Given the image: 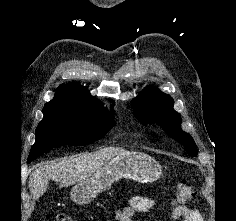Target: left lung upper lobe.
Returning a JSON list of instances; mask_svg holds the SVG:
<instances>
[{"label":"left lung upper lobe","mask_w":236,"mask_h":221,"mask_svg":"<svg viewBox=\"0 0 236 221\" xmlns=\"http://www.w3.org/2000/svg\"><path fill=\"white\" fill-rule=\"evenodd\" d=\"M132 103L134 115L142 124L160 125L169 136L185 145L189 155H197V146L193 138L181 129L182 119L173 109L174 100L170 95L155 88H146Z\"/></svg>","instance_id":"left-lung-upper-lobe-1"}]
</instances>
